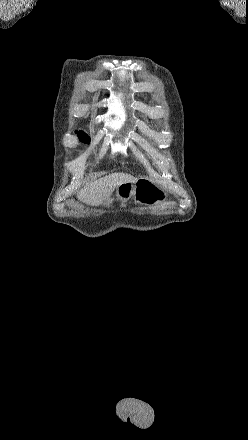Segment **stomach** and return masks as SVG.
Here are the masks:
<instances>
[{
	"mask_svg": "<svg viewBox=\"0 0 248 440\" xmlns=\"http://www.w3.org/2000/svg\"><path fill=\"white\" fill-rule=\"evenodd\" d=\"M117 197L127 201L133 197L138 203L152 205L163 203L167 200V193L158 185L147 178L138 179L135 183H125L117 187ZM111 202V199L106 201Z\"/></svg>",
	"mask_w": 248,
	"mask_h": 440,
	"instance_id": "1",
	"label": "stomach"
}]
</instances>
